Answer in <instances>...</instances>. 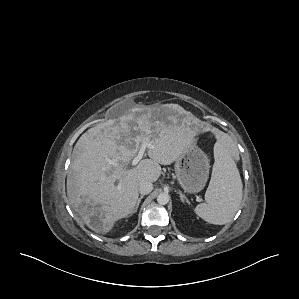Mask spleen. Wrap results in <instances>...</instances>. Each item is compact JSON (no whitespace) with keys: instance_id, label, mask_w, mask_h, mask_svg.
Wrapping results in <instances>:
<instances>
[{"instance_id":"obj_1","label":"spleen","mask_w":299,"mask_h":299,"mask_svg":"<svg viewBox=\"0 0 299 299\" xmlns=\"http://www.w3.org/2000/svg\"><path fill=\"white\" fill-rule=\"evenodd\" d=\"M214 158L206 203L197 205L195 213L210 224L224 225L239 209L243 184L233 156L222 140L215 143Z\"/></svg>"}]
</instances>
